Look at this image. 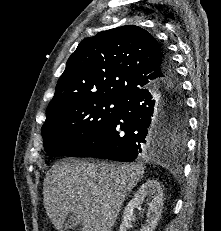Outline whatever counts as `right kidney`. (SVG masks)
Returning a JSON list of instances; mask_svg holds the SVG:
<instances>
[{"instance_id": "1", "label": "right kidney", "mask_w": 221, "mask_h": 231, "mask_svg": "<svg viewBox=\"0 0 221 231\" xmlns=\"http://www.w3.org/2000/svg\"><path fill=\"white\" fill-rule=\"evenodd\" d=\"M145 199L149 201L147 220L140 231H154L160 220L163 208V191L157 180H148L138 189L134 198L127 204L119 231H127L131 227L133 211Z\"/></svg>"}]
</instances>
